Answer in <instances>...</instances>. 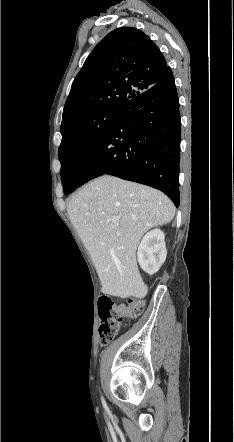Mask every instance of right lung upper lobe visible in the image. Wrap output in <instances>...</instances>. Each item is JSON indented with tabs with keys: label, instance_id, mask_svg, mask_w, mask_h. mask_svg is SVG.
I'll use <instances>...</instances> for the list:
<instances>
[{
	"label": "right lung upper lobe",
	"instance_id": "obj_1",
	"mask_svg": "<svg viewBox=\"0 0 234 442\" xmlns=\"http://www.w3.org/2000/svg\"><path fill=\"white\" fill-rule=\"evenodd\" d=\"M167 67L146 34L132 27L115 29L94 48L74 79L61 130L92 112L122 107L153 86Z\"/></svg>",
	"mask_w": 234,
	"mask_h": 442
}]
</instances>
